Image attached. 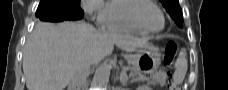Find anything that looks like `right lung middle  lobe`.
Returning <instances> with one entry per match:
<instances>
[{
	"label": "right lung middle lobe",
	"mask_w": 228,
	"mask_h": 90,
	"mask_svg": "<svg viewBox=\"0 0 228 90\" xmlns=\"http://www.w3.org/2000/svg\"><path fill=\"white\" fill-rule=\"evenodd\" d=\"M50 3L57 6L61 11L70 17H76L82 13L80 0H41L40 3Z\"/></svg>",
	"instance_id": "dd1d6c3e"
}]
</instances>
